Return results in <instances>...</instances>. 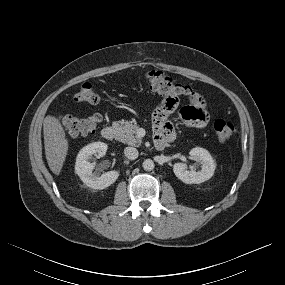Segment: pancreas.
<instances>
[{
	"label": "pancreas",
	"mask_w": 285,
	"mask_h": 285,
	"mask_svg": "<svg viewBox=\"0 0 285 285\" xmlns=\"http://www.w3.org/2000/svg\"><path fill=\"white\" fill-rule=\"evenodd\" d=\"M113 125L118 129L117 139L122 143L138 147L141 145L142 140L134 136L136 132V126L130 121H118Z\"/></svg>",
	"instance_id": "obj_1"
}]
</instances>
